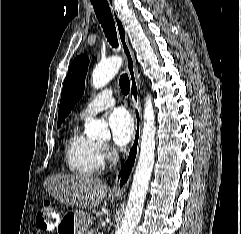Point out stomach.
<instances>
[{
    "label": "stomach",
    "mask_w": 241,
    "mask_h": 234,
    "mask_svg": "<svg viewBox=\"0 0 241 234\" xmlns=\"http://www.w3.org/2000/svg\"><path fill=\"white\" fill-rule=\"evenodd\" d=\"M88 227L87 216L78 210L69 212L59 225L61 233L68 234H86Z\"/></svg>",
    "instance_id": "0dacf381"
}]
</instances>
